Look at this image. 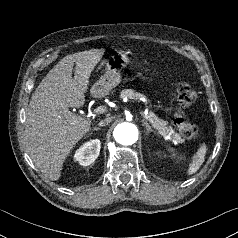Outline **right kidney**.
Masks as SVG:
<instances>
[{
  "instance_id": "obj_1",
  "label": "right kidney",
  "mask_w": 238,
  "mask_h": 238,
  "mask_svg": "<svg viewBox=\"0 0 238 238\" xmlns=\"http://www.w3.org/2000/svg\"><path fill=\"white\" fill-rule=\"evenodd\" d=\"M101 143L99 139H93L84 143L74 154V158L82 166L92 164L99 156Z\"/></svg>"
}]
</instances>
